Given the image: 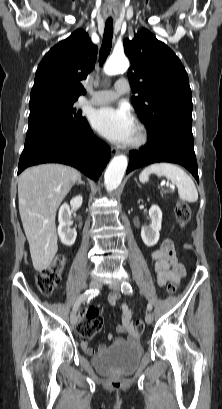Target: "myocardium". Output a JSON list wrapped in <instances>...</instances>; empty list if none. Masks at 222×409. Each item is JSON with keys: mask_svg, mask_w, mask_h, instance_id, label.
<instances>
[{"mask_svg": "<svg viewBox=\"0 0 222 409\" xmlns=\"http://www.w3.org/2000/svg\"><path fill=\"white\" fill-rule=\"evenodd\" d=\"M148 139L149 134L147 128L142 123H138L136 125V135L129 143V146L132 149H139L147 144Z\"/></svg>", "mask_w": 222, "mask_h": 409, "instance_id": "obj_1", "label": "myocardium"}]
</instances>
